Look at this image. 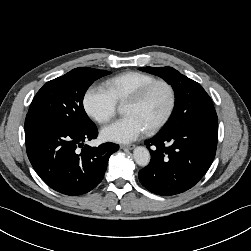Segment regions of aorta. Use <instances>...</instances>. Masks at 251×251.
Wrapping results in <instances>:
<instances>
[{
  "label": "aorta",
  "instance_id": "762f6f07",
  "mask_svg": "<svg viewBox=\"0 0 251 251\" xmlns=\"http://www.w3.org/2000/svg\"><path fill=\"white\" fill-rule=\"evenodd\" d=\"M134 161L142 167H145L150 162V153L147 148L139 146L133 151Z\"/></svg>",
  "mask_w": 251,
  "mask_h": 251
}]
</instances>
